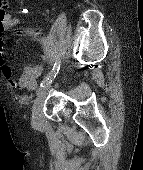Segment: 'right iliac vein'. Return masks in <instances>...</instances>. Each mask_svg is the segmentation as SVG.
I'll return each mask as SVG.
<instances>
[{"mask_svg":"<svg viewBox=\"0 0 143 170\" xmlns=\"http://www.w3.org/2000/svg\"><path fill=\"white\" fill-rule=\"evenodd\" d=\"M51 87V82L44 85L38 92L32 107V123L39 126L42 121V109L46 95Z\"/></svg>","mask_w":143,"mask_h":170,"instance_id":"right-iliac-vein-1","label":"right iliac vein"}]
</instances>
